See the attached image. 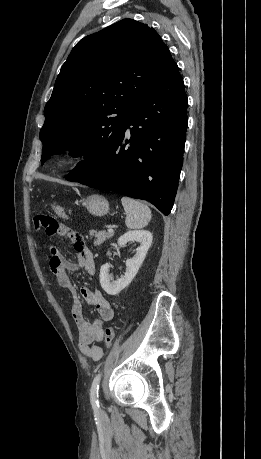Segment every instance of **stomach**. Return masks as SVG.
<instances>
[{
	"mask_svg": "<svg viewBox=\"0 0 261 459\" xmlns=\"http://www.w3.org/2000/svg\"><path fill=\"white\" fill-rule=\"evenodd\" d=\"M83 205L94 216H104L109 212V203L101 195H91L83 200Z\"/></svg>",
	"mask_w": 261,
	"mask_h": 459,
	"instance_id": "1",
	"label": "stomach"
}]
</instances>
